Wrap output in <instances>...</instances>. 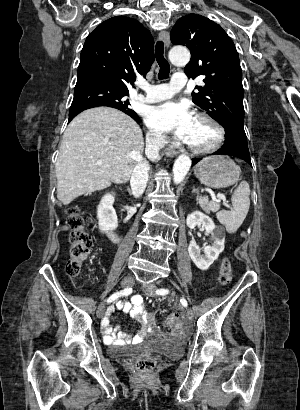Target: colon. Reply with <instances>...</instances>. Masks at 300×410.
Returning <instances> with one entry per match:
<instances>
[{
  "label": "colon",
  "mask_w": 300,
  "mask_h": 410,
  "mask_svg": "<svg viewBox=\"0 0 300 410\" xmlns=\"http://www.w3.org/2000/svg\"><path fill=\"white\" fill-rule=\"evenodd\" d=\"M66 223L70 229L69 233V260L66 265V272L74 283L83 274V264L88 257L89 250L92 246V240L86 228V222L80 213L77 206H72L68 209ZM231 278V266L227 258H224L221 263V271L219 282L221 285H226ZM178 322L177 314H170L167 318L169 326ZM156 362L152 357L139 358L135 366L137 370L143 374L151 373L155 368Z\"/></svg>",
  "instance_id": "colon-1"
}]
</instances>
